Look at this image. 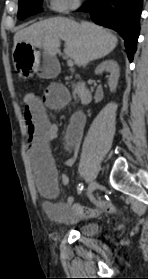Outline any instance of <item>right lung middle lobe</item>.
<instances>
[{
	"mask_svg": "<svg viewBox=\"0 0 148 279\" xmlns=\"http://www.w3.org/2000/svg\"><path fill=\"white\" fill-rule=\"evenodd\" d=\"M42 0H19L18 18L23 20L30 15L40 12V4Z\"/></svg>",
	"mask_w": 148,
	"mask_h": 279,
	"instance_id": "dd1d6c3e",
	"label": "right lung middle lobe"
}]
</instances>
